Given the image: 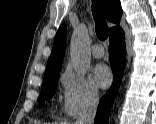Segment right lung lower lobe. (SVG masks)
<instances>
[{
    "mask_svg": "<svg viewBox=\"0 0 156 124\" xmlns=\"http://www.w3.org/2000/svg\"><path fill=\"white\" fill-rule=\"evenodd\" d=\"M109 56L113 71V84L99 102L94 124H108L110 109L123 76L126 50L122 29L110 35Z\"/></svg>",
    "mask_w": 156,
    "mask_h": 124,
    "instance_id": "obj_1",
    "label": "right lung lower lobe"
}]
</instances>
